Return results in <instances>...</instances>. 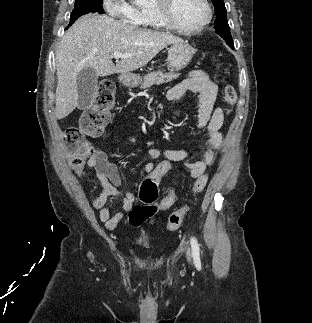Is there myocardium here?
Returning <instances> with one entry per match:
<instances>
[{
	"label": "myocardium",
	"mask_w": 312,
	"mask_h": 323,
	"mask_svg": "<svg viewBox=\"0 0 312 323\" xmlns=\"http://www.w3.org/2000/svg\"><path fill=\"white\" fill-rule=\"evenodd\" d=\"M157 8L160 10L164 23L169 24V31H205L207 23L212 19L213 5L209 0H197L201 5L200 11L204 13L200 20H175L170 10L169 0H158Z\"/></svg>",
	"instance_id": "1"
}]
</instances>
